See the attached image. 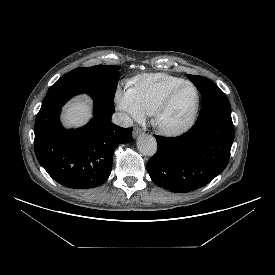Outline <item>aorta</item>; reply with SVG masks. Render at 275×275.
Instances as JSON below:
<instances>
[{
  "label": "aorta",
  "mask_w": 275,
  "mask_h": 275,
  "mask_svg": "<svg viewBox=\"0 0 275 275\" xmlns=\"http://www.w3.org/2000/svg\"><path fill=\"white\" fill-rule=\"evenodd\" d=\"M137 148L146 156H153L157 151L156 139L148 134H142L137 139Z\"/></svg>",
  "instance_id": "obj_1"
}]
</instances>
